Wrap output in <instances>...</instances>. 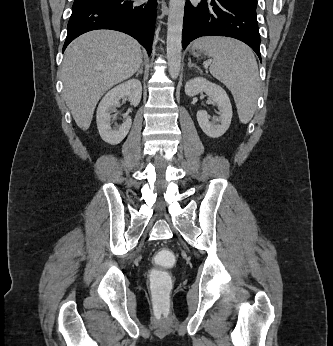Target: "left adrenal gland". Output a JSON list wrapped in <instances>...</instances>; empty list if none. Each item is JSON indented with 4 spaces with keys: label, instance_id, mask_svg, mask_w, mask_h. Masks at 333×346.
I'll list each match as a JSON object with an SVG mask.
<instances>
[{
    "label": "left adrenal gland",
    "instance_id": "obj_1",
    "mask_svg": "<svg viewBox=\"0 0 333 346\" xmlns=\"http://www.w3.org/2000/svg\"><path fill=\"white\" fill-rule=\"evenodd\" d=\"M188 67L189 68H191V67H195V68H197L198 70H200V68L196 65V64H193L192 62H191V58H188Z\"/></svg>",
    "mask_w": 333,
    "mask_h": 346
}]
</instances>
